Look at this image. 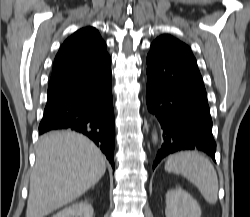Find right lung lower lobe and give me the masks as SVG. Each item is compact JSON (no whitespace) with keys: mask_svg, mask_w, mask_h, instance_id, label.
Returning <instances> with one entry per match:
<instances>
[{"mask_svg":"<svg viewBox=\"0 0 250 217\" xmlns=\"http://www.w3.org/2000/svg\"><path fill=\"white\" fill-rule=\"evenodd\" d=\"M47 96L39 134L59 129L80 132L95 142L114 169L111 60L90 74L49 89Z\"/></svg>","mask_w":250,"mask_h":217,"instance_id":"98d812e1","label":"right lung lower lobe"}]
</instances>
